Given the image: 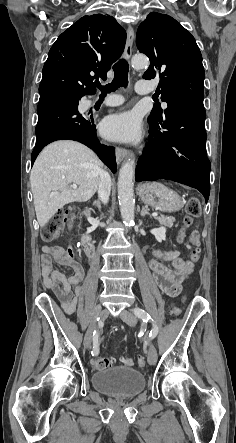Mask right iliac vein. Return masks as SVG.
<instances>
[{"instance_id":"right-iliac-vein-1","label":"right iliac vein","mask_w":236,"mask_h":443,"mask_svg":"<svg viewBox=\"0 0 236 443\" xmlns=\"http://www.w3.org/2000/svg\"><path fill=\"white\" fill-rule=\"evenodd\" d=\"M109 315V310L108 309H104L101 311L100 313V318L101 319H105L107 316ZM96 326V321L94 320L89 328L87 329L85 336H84V341H83V345L85 348H89L91 346L92 343V338H93V331L95 329Z\"/></svg>"}]
</instances>
